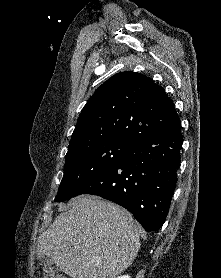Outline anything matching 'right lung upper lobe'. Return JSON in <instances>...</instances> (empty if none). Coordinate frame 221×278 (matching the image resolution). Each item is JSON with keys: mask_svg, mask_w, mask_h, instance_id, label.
Masks as SVG:
<instances>
[{"mask_svg": "<svg viewBox=\"0 0 221 278\" xmlns=\"http://www.w3.org/2000/svg\"><path fill=\"white\" fill-rule=\"evenodd\" d=\"M163 88L135 72H120L103 83L79 115L69 149L95 139L134 141L180 125Z\"/></svg>", "mask_w": 221, "mask_h": 278, "instance_id": "cb5924a9", "label": "right lung upper lobe"}]
</instances>
